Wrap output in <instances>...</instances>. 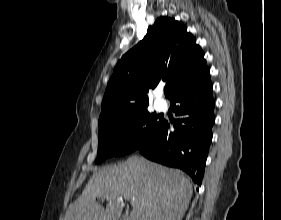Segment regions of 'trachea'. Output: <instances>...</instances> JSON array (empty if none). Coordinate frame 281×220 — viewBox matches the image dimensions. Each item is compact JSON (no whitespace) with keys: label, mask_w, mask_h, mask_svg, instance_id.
<instances>
[{"label":"trachea","mask_w":281,"mask_h":220,"mask_svg":"<svg viewBox=\"0 0 281 220\" xmlns=\"http://www.w3.org/2000/svg\"><path fill=\"white\" fill-rule=\"evenodd\" d=\"M164 93L167 94L168 93V88H164Z\"/></svg>","instance_id":"3493384b"}]
</instances>
